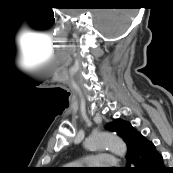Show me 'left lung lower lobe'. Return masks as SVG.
Here are the masks:
<instances>
[{
	"label": "left lung lower lobe",
	"instance_id": "1",
	"mask_svg": "<svg viewBox=\"0 0 173 173\" xmlns=\"http://www.w3.org/2000/svg\"><path fill=\"white\" fill-rule=\"evenodd\" d=\"M126 173H163V158L155 145L137 133L134 143L127 153Z\"/></svg>",
	"mask_w": 173,
	"mask_h": 173
}]
</instances>
